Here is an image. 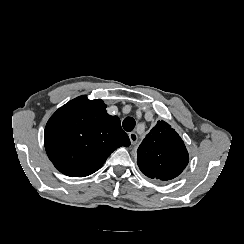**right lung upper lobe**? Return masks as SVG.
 <instances>
[{
	"mask_svg": "<svg viewBox=\"0 0 244 244\" xmlns=\"http://www.w3.org/2000/svg\"><path fill=\"white\" fill-rule=\"evenodd\" d=\"M47 155L70 177H85L102 167L118 147L130 145L120 119L106 112L100 99L77 97L59 108L44 132Z\"/></svg>",
	"mask_w": 244,
	"mask_h": 244,
	"instance_id": "right-lung-upper-lobe-1",
	"label": "right lung upper lobe"
}]
</instances>
